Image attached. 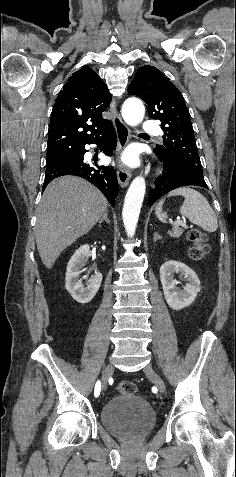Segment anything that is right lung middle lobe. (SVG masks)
Masks as SVG:
<instances>
[{
  "label": "right lung middle lobe",
  "instance_id": "right-lung-middle-lobe-1",
  "mask_svg": "<svg viewBox=\"0 0 236 477\" xmlns=\"http://www.w3.org/2000/svg\"><path fill=\"white\" fill-rule=\"evenodd\" d=\"M69 159H71V158H68V159H66L65 161H67V160H69ZM63 162H64V161H63Z\"/></svg>",
  "mask_w": 236,
  "mask_h": 477
}]
</instances>
